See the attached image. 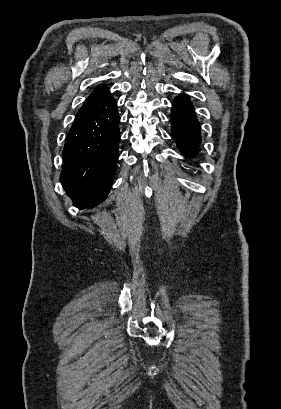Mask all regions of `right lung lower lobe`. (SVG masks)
I'll return each mask as SVG.
<instances>
[{"mask_svg":"<svg viewBox=\"0 0 281 409\" xmlns=\"http://www.w3.org/2000/svg\"><path fill=\"white\" fill-rule=\"evenodd\" d=\"M117 103L106 86H97L79 109L64 146L60 181L74 205L102 202L113 183L119 156Z\"/></svg>","mask_w":281,"mask_h":409,"instance_id":"obj_1","label":"right lung lower lobe"}]
</instances>
